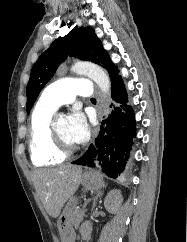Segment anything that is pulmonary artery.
Returning <instances> with one entry per match:
<instances>
[{
	"label": "pulmonary artery",
	"mask_w": 187,
	"mask_h": 242,
	"mask_svg": "<svg viewBox=\"0 0 187 242\" xmlns=\"http://www.w3.org/2000/svg\"><path fill=\"white\" fill-rule=\"evenodd\" d=\"M93 94L92 83L84 78H64L47 86L41 94L40 102L55 109L72 103L77 95L90 97Z\"/></svg>",
	"instance_id": "pulmonary-artery-1"
}]
</instances>
